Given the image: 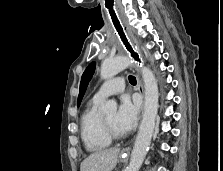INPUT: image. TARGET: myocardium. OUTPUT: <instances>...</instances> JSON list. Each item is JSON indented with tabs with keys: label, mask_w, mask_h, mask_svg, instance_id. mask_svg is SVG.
I'll return each instance as SVG.
<instances>
[{
	"label": "myocardium",
	"mask_w": 223,
	"mask_h": 171,
	"mask_svg": "<svg viewBox=\"0 0 223 171\" xmlns=\"http://www.w3.org/2000/svg\"><path fill=\"white\" fill-rule=\"evenodd\" d=\"M102 127L104 130L105 135L112 141V140H118L121 139L124 135L123 134H117L115 133L111 127L109 126V124L107 123L106 119L104 118V116H102Z\"/></svg>",
	"instance_id": "1"
}]
</instances>
